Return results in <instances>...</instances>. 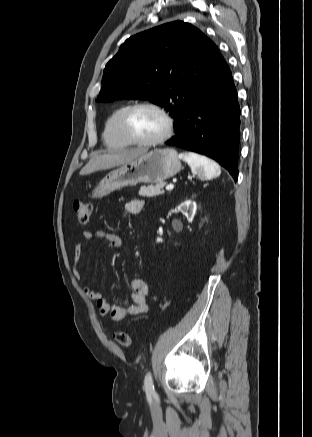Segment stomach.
Returning <instances> with one entry per match:
<instances>
[{"mask_svg":"<svg viewBox=\"0 0 312 437\" xmlns=\"http://www.w3.org/2000/svg\"><path fill=\"white\" fill-rule=\"evenodd\" d=\"M181 168L175 149H154L109 172L92 191V197L102 198L138 183H160L176 175Z\"/></svg>","mask_w":312,"mask_h":437,"instance_id":"0dacf381","label":"stomach"}]
</instances>
